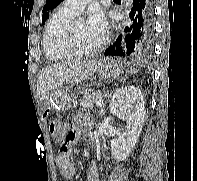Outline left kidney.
<instances>
[{
    "mask_svg": "<svg viewBox=\"0 0 197 181\" xmlns=\"http://www.w3.org/2000/svg\"><path fill=\"white\" fill-rule=\"evenodd\" d=\"M110 112L126 121L125 132L111 140V152L118 161L126 160L138 142L145 122V102L140 89L125 86L118 89L110 102Z\"/></svg>",
    "mask_w": 197,
    "mask_h": 181,
    "instance_id": "1",
    "label": "left kidney"
}]
</instances>
